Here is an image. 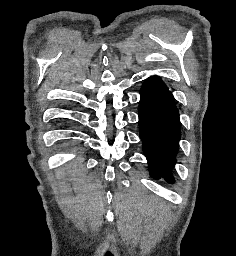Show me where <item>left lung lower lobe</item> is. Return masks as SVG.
Wrapping results in <instances>:
<instances>
[{
  "mask_svg": "<svg viewBox=\"0 0 236 256\" xmlns=\"http://www.w3.org/2000/svg\"><path fill=\"white\" fill-rule=\"evenodd\" d=\"M139 102V127L143 152L150 175L174 183L171 169L176 162L180 140L179 113L171 92L159 77L142 85Z\"/></svg>",
  "mask_w": 236,
  "mask_h": 256,
  "instance_id": "0a47b994",
  "label": "left lung lower lobe"
}]
</instances>
